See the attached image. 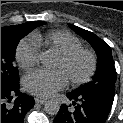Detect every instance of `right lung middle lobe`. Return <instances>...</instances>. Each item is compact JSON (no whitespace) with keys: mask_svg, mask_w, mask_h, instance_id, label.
<instances>
[{"mask_svg":"<svg viewBox=\"0 0 123 123\" xmlns=\"http://www.w3.org/2000/svg\"><path fill=\"white\" fill-rule=\"evenodd\" d=\"M44 24L46 22L35 21L1 28V83L11 86L19 84L18 69L13 65L16 47L21 38Z\"/></svg>","mask_w":123,"mask_h":123,"instance_id":"1","label":"right lung middle lobe"}]
</instances>
